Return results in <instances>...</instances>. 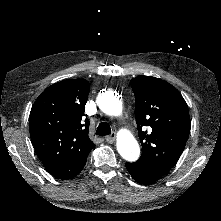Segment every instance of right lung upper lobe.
Segmentation results:
<instances>
[{
	"mask_svg": "<svg viewBox=\"0 0 221 221\" xmlns=\"http://www.w3.org/2000/svg\"><path fill=\"white\" fill-rule=\"evenodd\" d=\"M90 86L69 79L49 86L30 112V136L46 170L56 178H73L84 168L95 144L88 136L89 120L81 123Z\"/></svg>",
	"mask_w": 221,
	"mask_h": 221,
	"instance_id": "obj_1",
	"label": "right lung upper lobe"
}]
</instances>
